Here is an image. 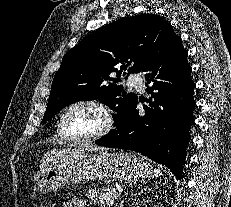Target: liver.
Listing matches in <instances>:
<instances>
[{"label": "liver", "mask_w": 231, "mask_h": 207, "mask_svg": "<svg viewBox=\"0 0 231 207\" xmlns=\"http://www.w3.org/2000/svg\"><path fill=\"white\" fill-rule=\"evenodd\" d=\"M107 150L106 148H103V147H98V146H94V145H87V146H83L81 148H69V149H65V150H62V151H51V152H48L46 153L43 157H42V160H41V166L40 168H43V166H47L48 164H50L51 162H53L56 158H58L59 156H62L63 154H66V153H70V152H74V151H105Z\"/></svg>", "instance_id": "1"}]
</instances>
